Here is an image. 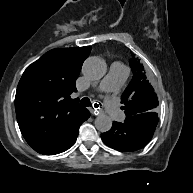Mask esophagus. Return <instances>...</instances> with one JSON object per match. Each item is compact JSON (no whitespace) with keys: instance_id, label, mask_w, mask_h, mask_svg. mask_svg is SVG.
Returning a JSON list of instances; mask_svg holds the SVG:
<instances>
[{"instance_id":"1","label":"esophagus","mask_w":193,"mask_h":193,"mask_svg":"<svg viewBox=\"0 0 193 193\" xmlns=\"http://www.w3.org/2000/svg\"><path fill=\"white\" fill-rule=\"evenodd\" d=\"M94 104H98V103H94ZM94 104H93V105H94ZM91 113H92L93 115L97 116V115L100 114V111L93 106V109H92Z\"/></svg>"}]
</instances>
